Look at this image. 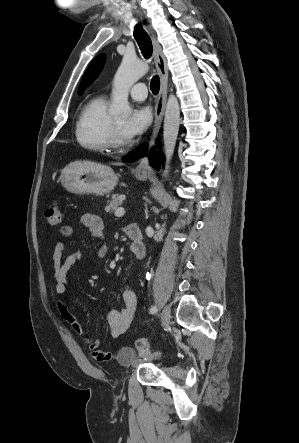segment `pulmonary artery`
Wrapping results in <instances>:
<instances>
[{
	"mask_svg": "<svg viewBox=\"0 0 299 443\" xmlns=\"http://www.w3.org/2000/svg\"><path fill=\"white\" fill-rule=\"evenodd\" d=\"M130 96L136 101H143L147 97V88L144 83H137L130 89Z\"/></svg>",
	"mask_w": 299,
	"mask_h": 443,
	"instance_id": "1",
	"label": "pulmonary artery"
}]
</instances>
